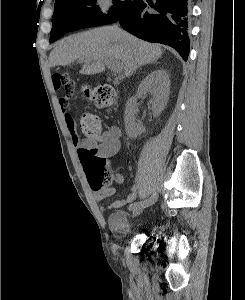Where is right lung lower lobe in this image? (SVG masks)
Returning <instances> with one entry per match:
<instances>
[{
    "label": "right lung lower lobe",
    "mask_w": 245,
    "mask_h": 300,
    "mask_svg": "<svg viewBox=\"0 0 245 300\" xmlns=\"http://www.w3.org/2000/svg\"><path fill=\"white\" fill-rule=\"evenodd\" d=\"M188 0H139L117 22L131 34L149 42L173 47L186 61L189 55ZM60 38L64 34L84 28L69 20L55 23Z\"/></svg>",
    "instance_id": "right-lung-lower-lobe-1"
}]
</instances>
